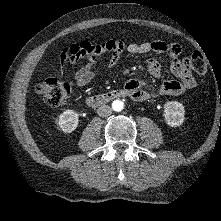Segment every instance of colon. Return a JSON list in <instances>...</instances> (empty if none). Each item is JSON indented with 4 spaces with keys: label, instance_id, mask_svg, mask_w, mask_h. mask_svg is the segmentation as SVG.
Returning <instances> with one entry per match:
<instances>
[{
    "label": "colon",
    "instance_id": "1",
    "mask_svg": "<svg viewBox=\"0 0 221 221\" xmlns=\"http://www.w3.org/2000/svg\"><path fill=\"white\" fill-rule=\"evenodd\" d=\"M79 49L72 45L67 47L61 53L62 62H74L79 58ZM187 64L198 75H204L207 72V64L200 53H194L187 59ZM73 87L70 83L60 81L56 78H48L36 87L39 97L48 105L53 107L63 106L71 96Z\"/></svg>",
    "mask_w": 221,
    "mask_h": 221
}]
</instances>
